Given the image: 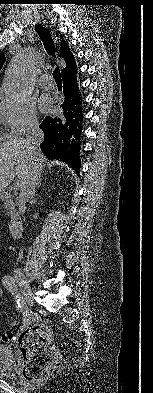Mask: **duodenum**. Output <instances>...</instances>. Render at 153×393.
I'll list each match as a JSON object with an SVG mask.
<instances>
[{
  "instance_id": "410a0bca",
  "label": "duodenum",
  "mask_w": 153,
  "mask_h": 393,
  "mask_svg": "<svg viewBox=\"0 0 153 393\" xmlns=\"http://www.w3.org/2000/svg\"><path fill=\"white\" fill-rule=\"evenodd\" d=\"M1 200H10L8 194H0ZM23 231V223L18 214H12L9 222V232L12 237H19Z\"/></svg>"
}]
</instances>
